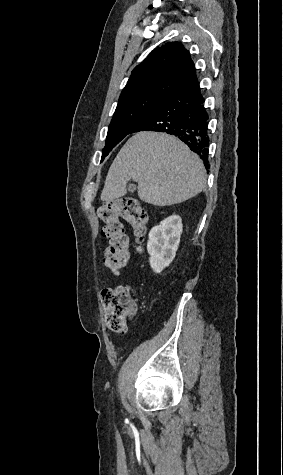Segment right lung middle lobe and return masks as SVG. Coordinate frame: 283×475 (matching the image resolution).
I'll list each match as a JSON object with an SVG mask.
<instances>
[{
    "instance_id": "right-lung-middle-lobe-1",
    "label": "right lung middle lobe",
    "mask_w": 283,
    "mask_h": 475,
    "mask_svg": "<svg viewBox=\"0 0 283 475\" xmlns=\"http://www.w3.org/2000/svg\"><path fill=\"white\" fill-rule=\"evenodd\" d=\"M172 89H159L119 101L109 125L102 160L154 108L164 101Z\"/></svg>"
}]
</instances>
